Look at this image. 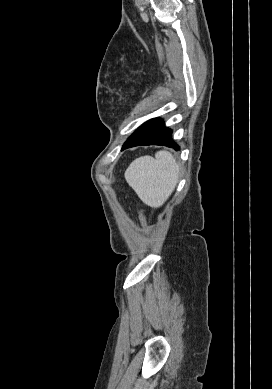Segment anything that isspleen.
I'll return each mask as SVG.
<instances>
[{
	"instance_id": "spleen-1",
	"label": "spleen",
	"mask_w": 272,
	"mask_h": 389,
	"mask_svg": "<svg viewBox=\"0 0 272 389\" xmlns=\"http://www.w3.org/2000/svg\"><path fill=\"white\" fill-rule=\"evenodd\" d=\"M179 165L167 151L155 158L146 155L135 159L125 171V179L138 197L150 207H160L175 189Z\"/></svg>"
}]
</instances>
